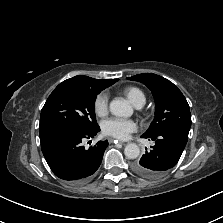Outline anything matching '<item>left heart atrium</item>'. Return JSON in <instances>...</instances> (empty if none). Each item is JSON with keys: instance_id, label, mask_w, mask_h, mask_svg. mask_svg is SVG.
<instances>
[{"instance_id": "1", "label": "left heart atrium", "mask_w": 223, "mask_h": 223, "mask_svg": "<svg viewBox=\"0 0 223 223\" xmlns=\"http://www.w3.org/2000/svg\"><path fill=\"white\" fill-rule=\"evenodd\" d=\"M137 124L133 120L111 118L102 123V131L105 135L125 140L135 132Z\"/></svg>"}]
</instances>
